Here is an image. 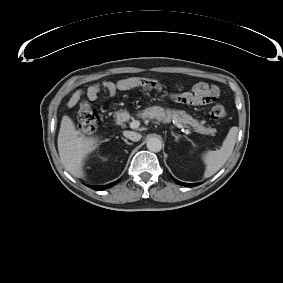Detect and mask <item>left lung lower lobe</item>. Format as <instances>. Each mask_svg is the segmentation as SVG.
Segmentation results:
<instances>
[{
    "label": "left lung lower lobe",
    "mask_w": 283,
    "mask_h": 283,
    "mask_svg": "<svg viewBox=\"0 0 283 283\" xmlns=\"http://www.w3.org/2000/svg\"><path fill=\"white\" fill-rule=\"evenodd\" d=\"M172 179H173L176 183H178V184H180V185H183V186H187V187H194V186L199 185L198 183H197V184L183 183V182H180V181L176 180V179L173 178V177H172Z\"/></svg>",
    "instance_id": "0a47b994"
}]
</instances>
